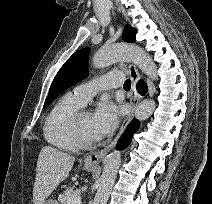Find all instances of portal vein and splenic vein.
Instances as JSON below:
<instances>
[{
    "label": "portal vein and splenic vein",
    "mask_w": 212,
    "mask_h": 204,
    "mask_svg": "<svg viewBox=\"0 0 212 204\" xmlns=\"http://www.w3.org/2000/svg\"><path fill=\"white\" fill-rule=\"evenodd\" d=\"M67 204H81V199L79 196L72 197L68 200Z\"/></svg>",
    "instance_id": "portal-vein-and-splenic-vein-1"
}]
</instances>
